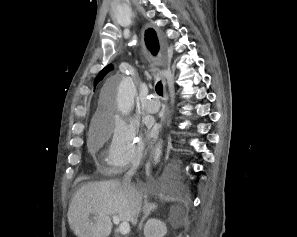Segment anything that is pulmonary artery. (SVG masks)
Returning <instances> with one entry per match:
<instances>
[{"label": "pulmonary artery", "mask_w": 297, "mask_h": 237, "mask_svg": "<svg viewBox=\"0 0 297 237\" xmlns=\"http://www.w3.org/2000/svg\"><path fill=\"white\" fill-rule=\"evenodd\" d=\"M144 109L149 113H155L159 110V102L152 96L149 95L143 102Z\"/></svg>", "instance_id": "1"}]
</instances>
